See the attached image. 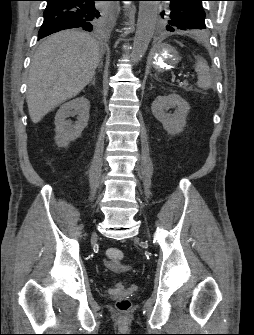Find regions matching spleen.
Wrapping results in <instances>:
<instances>
[{
    "instance_id": "spleen-1",
    "label": "spleen",
    "mask_w": 254,
    "mask_h": 335,
    "mask_svg": "<svg viewBox=\"0 0 254 335\" xmlns=\"http://www.w3.org/2000/svg\"><path fill=\"white\" fill-rule=\"evenodd\" d=\"M195 71L198 75L197 86L201 89L211 88L213 84L211 70L201 57H196Z\"/></svg>"
}]
</instances>
